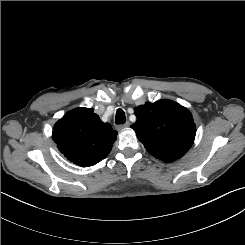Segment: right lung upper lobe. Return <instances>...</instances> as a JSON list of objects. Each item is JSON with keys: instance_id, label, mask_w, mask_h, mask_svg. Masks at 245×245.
Masks as SVG:
<instances>
[{"instance_id": "right-lung-upper-lobe-1", "label": "right lung upper lobe", "mask_w": 245, "mask_h": 245, "mask_svg": "<svg viewBox=\"0 0 245 245\" xmlns=\"http://www.w3.org/2000/svg\"><path fill=\"white\" fill-rule=\"evenodd\" d=\"M52 138L68 160L89 167L107 157L117 132L109 123H103L93 109L76 108L55 124Z\"/></svg>"}]
</instances>
